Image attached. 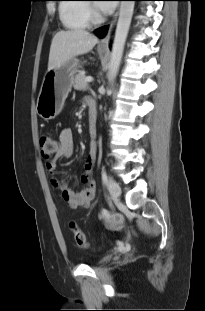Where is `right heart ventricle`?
<instances>
[{"mask_svg":"<svg viewBox=\"0 0 205 311\" xmlns=\"http://www.w3.org/2000/svg\"><path fill=\"white\" fill-rule=\"evenodd\" d=\"M79 2L83 0H64ZM59 15L62 24L70 30L86 29L90 25V8L88 4L63 3L59 6Z\"/></svg>","mask_w":205,"mask_h":311,"instance_id":"1","label":"right heart ventricle"}]
</instances>
